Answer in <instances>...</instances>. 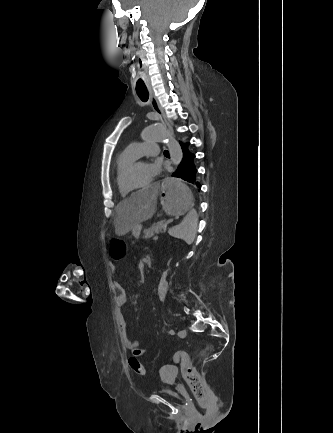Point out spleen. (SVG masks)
Masks as SVG:
<instances>
[{
  "instance_id": "1",
  "label": "spleen",
  "mask_w": 333,
  "mask_h": 433,
  "mask_svg": "<svg viewBox=\"0 0 333 433\" xmlns=\"http://www.w3.org/2000/svg\"><path fill=\"white\" fill-rule=\"evenodd\" d=\"M197 224L198 219L195 210H189L188 215H185L180 224L170 228L169 234L174 238L184 240L188 245H190L196 238Z\"/></svg>"
}]
</instances>
